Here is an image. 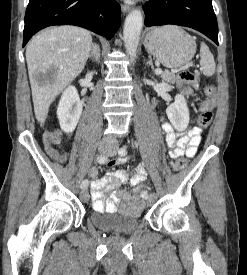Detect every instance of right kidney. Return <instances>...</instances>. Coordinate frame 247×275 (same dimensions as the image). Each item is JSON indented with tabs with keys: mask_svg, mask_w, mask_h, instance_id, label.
<instances>
[{
	"mask_svg": "<svg viewBox=\"0 0 247 275\" xmlns=\"http://www.w3.org/2000/svg\"><path fill=\"white\" fill-rule=\"evenodd\" d=\"M83 103L79 98L77 89L69 86L61 96L57 108V117L61 129L65 133H72L82 114Z\"/></svg>",
	"mask_w": 247,
	"mask_h": 275,
	"instance_id": "right-kidney-1",
	"label": "right kidney"
}]
</instances>
